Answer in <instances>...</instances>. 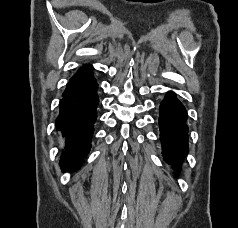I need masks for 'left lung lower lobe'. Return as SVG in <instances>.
Masks as SVG:
<instances>
[{
	"label": "left lung lower lobe",
	"instance_id": "1",
	"mask_svg": "<svg viewBox=\"0 0 238 228\" xmlns=\"http://www.w3.org/2000/svg\"><path fill=\"white\" fill-rule=\"evenodd\" d=\"M187 113L173 92H169L160 105V139L167 163L178 168L188 151Z\"/></svg>",
	"mask_w": 238,
	"mask_h": 228
}]
</instances>
